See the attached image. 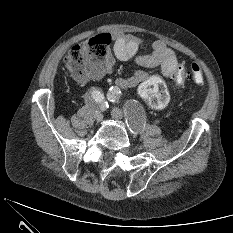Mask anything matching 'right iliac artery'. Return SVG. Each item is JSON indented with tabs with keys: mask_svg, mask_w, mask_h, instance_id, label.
<instances>
[{
	"mask_svg": "<svg viewBox=\"0 0 233 233\" xmlns=\"http://www.w3.org/2000/svg\"><path fill=\"white\" fill-rule=\"evenodd\" d=\"M85 100L89 105L100 109H105L107 107V103L104 100V95L96 89L88 92Z\"/></svg>",
	"mask_w": 233,
	"mask_h": 233,
	"instance_id": "1",
	"label": "right iliac artery"
}]
</instances>
